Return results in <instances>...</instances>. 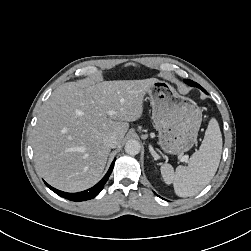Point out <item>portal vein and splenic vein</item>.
I'll return each mask as SVG.
<instances>
[{"mask_svg": "<svg viewBox=\"0 0 251 251\" xmlns=\"http://www.w3.org/2000/svg\"><path fill=\"white\" fill-rule=\"evenodd\" d=\"M181 161H182V162H186V161H187V157H186V156L182 157V158H181Z\"/></svg>", "mask_w": 251, "mask_h": 251, "instance_id": "1", "label": "portal vein and splenic vein"}]
</instances>
